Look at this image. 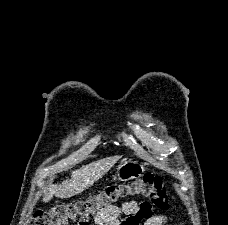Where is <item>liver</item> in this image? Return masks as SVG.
I'll list each match as a JSON object with an SVG mask.
<instances>
[{
	"label": "liver",
	"mask_w": 228,
	"mask_h": 225,
	"mask_svg": "<svg viewBox=\"0 0 228 225\" xmlns=\"http://www.w3.org/2000/svg\"><path fill=\"white\" fill-rule=\"evenodd\" d=\"M121 157L122 155H118V157H106V159L94 161L72 171L69 181H63L61 185H48L44 191L43 203H49L54 195L59 199H69V197L83 193L93 183L102 179L103 175L108 173Z\"/></svg>",
	"instance_id": "1"
}]
</instances>
